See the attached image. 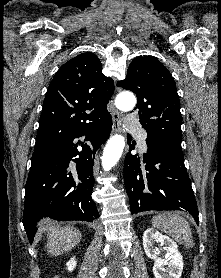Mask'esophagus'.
<instances>
[{"label": "esophagus", "instance_id": "obj_1", "mask_svg": "<svg viewBox=\"0 0 221 278\" xmlns=\"http://www.w3.org/2000/svg\"><path fill=\"white\" fill-rule=\"evenodd\" d=\"M112 119H113L112 132L121 133L123 131L121 126V113L118 110L114 109L112 111Z\"/></svg>", "mask_w": 221, "mask_h": 278}]
</instances>
